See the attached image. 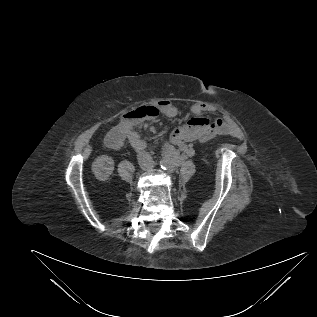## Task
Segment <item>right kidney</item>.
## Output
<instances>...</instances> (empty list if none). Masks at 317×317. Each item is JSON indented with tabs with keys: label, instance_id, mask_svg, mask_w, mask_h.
<instances>
[{
	"label": "right kidney",
	"instance_id": "obj_1",
	"mask_svg": "<svg viewBox=\"0 0 317 317\" xmlns=\"http://www.w3.org/2000/svg\"><path fill=\"white\" fill-rule=\"evenodd\" d=\"M114 170V160L107 156H98L92 163V172L98 180L105 181Z\"/></svg>",
	"mask_w": 317,
	"mask_h": 317
}]
</instances>
